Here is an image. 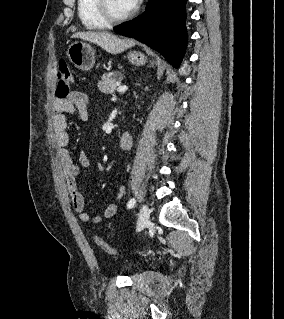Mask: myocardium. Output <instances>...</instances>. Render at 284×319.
Here are the masks:
<instances>
[{"mask_svg": "<svg viewBox=\"0 0 284 319\" xmlns=\"http://www.w3.org/2000/svg\"><path fill=\"white\" fill-rule=\"evenodd\" d=\"M97 1H98L99 12L108 23H111V24L122 23L127 21L134 15V10H131L125 15L115 16L110 10L108 0H97Z\"/></svg>", "mask_w": 284, "mask_h": 319, "instance_id": "f54148a6", "label": "myocardium"}]
</instances>
